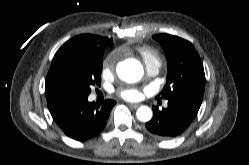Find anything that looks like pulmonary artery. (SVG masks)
<instances>
[{
	"label": "pulmonary artery",
	"instance_id": "e3ab8cb5",
	"mask_svg": "<svg viewBox=\"0 0 249 165\" xmlns=\"http://www.w3.org/2000/svg\"><path fill=\"white\" fill-rule=\"evenodd\" d=\"M146 70L149 75H156L158 72V67L157 66H146Z\"/></svg>",
	"mask_w": 249,
	"mask_h": 165
}]
</instances>
